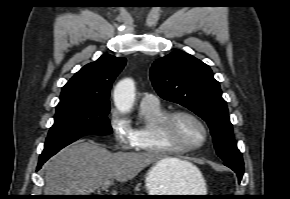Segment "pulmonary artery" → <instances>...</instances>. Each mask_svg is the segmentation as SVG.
Segmentation results:
<instances>
[{
    "instance_id": "e3ab8cb5",
    "label": "pulmonary artery",
    "mask_w": 290,
    "mask_h": 199,
    "mask_svg": "<svg viewBox=\"0 0 290 199\" xmlns=\"http://www.w3.org/2000/svg\"><path fill=\"white\" fill-rule=\"evenodd\" d=\"M140 104L144 106H158V98L150 93H144L141 97Z\"/></svg>"
}]
</instances>
